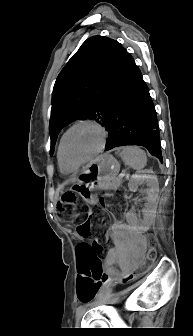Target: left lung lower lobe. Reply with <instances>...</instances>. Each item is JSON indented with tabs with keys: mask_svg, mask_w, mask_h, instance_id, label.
<instances>
[{
	"mask_svg": "<svg viewBox=\"0 0 193 336\" xmlns=\"http://www.w3.org/2000/svg\"><path fill=\"white\" fill-rule=\"evenodd\" d=\"M105 128L109 132L106 151L119 146L139 145L162 162L155 107L142 74L129 53Z\"/></svg>",
	"mask_w": 193,
	"mask_h": 336,
	"instance_id": "1",
	"label": "left lung lower lobe"
}]
</instances>
